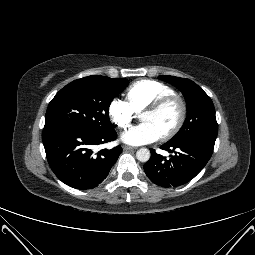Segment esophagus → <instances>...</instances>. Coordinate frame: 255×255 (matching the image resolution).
I'll list each match as a JSON object with an SVG mask.
<instances>
[{
	"label": "esophagus",
	"mask_w": 255,
	"mask_h": 255,
	"mask_svg": "<svg viewBox=\"0 0 255 255\" xmlns=\"http://www.w3.org/2000/svg\"><path fill=\"white\" fill-rule=\"evenodd\" d=\"M124 150H134L136 149L135 147L129 146V145H123Z\"/></svg>",
	"instance_id": "1"
}]
</instances>
